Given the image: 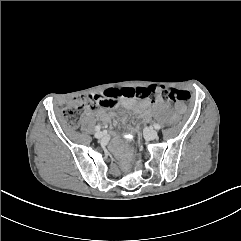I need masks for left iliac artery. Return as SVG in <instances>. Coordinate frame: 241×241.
<instances>
[{
    "label": "left iliac artery",
    "instance_id": "44dca946",
    "mask_svg": "<svg viewBox=\"0 0 241 241\" xmlns=\"http://www.w3.org/2000/svg\"><path fill=\"white\" fill-rule=\"evenodd\" d=\"M154 128H155L156 130H159V129L161 128V126H160L159 124L155 123V124H154Z\"/></svg>",
    "mask_w": 241,
    "mask_h": 241
}]
</instances>
